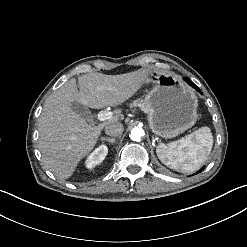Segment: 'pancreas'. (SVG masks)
<instances>
[{
    "mask_svg": "<svg viewBox=\"0 0 247 247\" xmlns=\"http://www.w3.org/2000/svg\"><path fill=\"white\" fill-rule=\"evenodd\" d=\"M130 107H140V108H144V103L142 102V100H135L130 104Z\"/></svg>",
    "mask_w": 247,
    "mask_h": 247,
    "instance_id": "obj_1",
    "label": "pancreas"
}]
</instances>
